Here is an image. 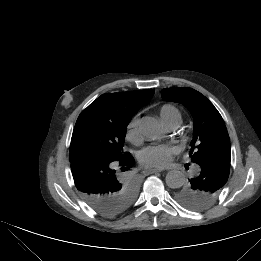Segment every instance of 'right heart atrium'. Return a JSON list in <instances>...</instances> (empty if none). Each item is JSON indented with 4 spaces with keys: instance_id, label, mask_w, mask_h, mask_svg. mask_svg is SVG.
I'll use <instances>...</instances> for the list:
<instances>
[{
    "instance_id": "1",
    "label": "right heart atrium",
    "mask_w": 261,
    "mask_h": 261,
    "mask_svg": "<svg viewBox=\"0 0 261 261\" xmlns=\"http://www.w3.org/2000/svg\"><path fill=\"white\" fill-rule=\"evenodd\" d=\"M138 125H139V117L135 115L131 118L126 128V138L130 142L135 144L140 141Z\"/></svg>"
}]
</instances>
